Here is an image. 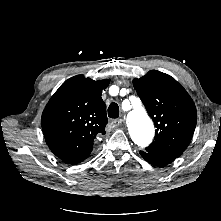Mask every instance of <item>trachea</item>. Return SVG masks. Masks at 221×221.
<instances>
[{
    "label": "trachea",
    "instance_id": "3493384b",
    "mask_svg": "<svg viewBox=\"0 0 221 221\" xmlns=\"http://www.w3.org/2000/svg\"><path fill=\"white\" fill-rule=\"evenodd\" d=\"M108 116L112 119L119 117V106L116 103H111L108 107Z\"/></svg>",
    "mask_w": 221,
    "mask_h": 221
}]
</instances>
